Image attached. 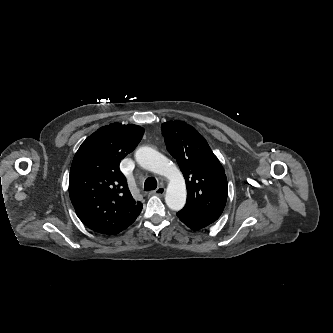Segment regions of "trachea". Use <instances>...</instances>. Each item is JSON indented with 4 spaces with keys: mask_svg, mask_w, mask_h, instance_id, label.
<instances>
[{
    "mask_svg": "<svg viewBox=\"0 0 333 333\" xmlns=\"http://www.w3.org/2000/svg\"><path fill=\"white\" fill-rule=\"evenodd\" d=\"M157 188V181L155 178L150 177L147 178L145 183H144V189L145 191H150V190H154Z\"/></svg>",
    "mask_w": 333,
    "mask_h": 333,
    "instance_id": "1",
    "label": "trachea"
}]
</instances>
